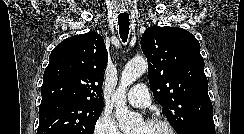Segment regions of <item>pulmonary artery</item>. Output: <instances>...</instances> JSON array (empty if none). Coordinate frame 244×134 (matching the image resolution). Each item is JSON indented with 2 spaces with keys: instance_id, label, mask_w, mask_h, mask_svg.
<instances>
[{
  "instance_id": "1",
  "label": "pulmonary artery",
  "mask_w": 244,
  "mask_h": 134,
  "mask_svg": "<svg viewBox=\"0 0 244 134\" xmlns=\"http://www.w3.org/2000/svg\"><path fill=\"white\" fill-rule=\"evenodd\" d=\"M128 102L135 107L144 108L150 104V95L145 84L135 85L127 93Z\"/></svg>"
}]
</instances>
